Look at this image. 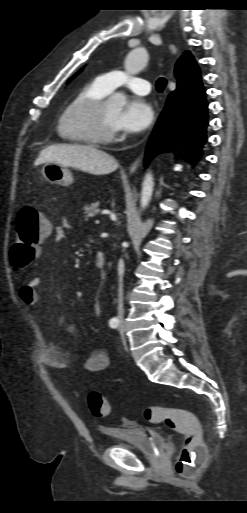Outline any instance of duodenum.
Instances as JSON below:
<instances>
[{"mask_svg":"<svg viewBox=\"0 0 247 513\" xmlns=\"http://www.w3.org/2000/svg\"><path fill=\"white\" fill-rule=\"evenodd\" d=\"M95 266L100 270V277L103 278L105 276V264H106V255L102 250H98L95 254L94 260Z\"/></svg>","mask_w":247,"mask_h":513,"instance_id":"410a0bca","label":"duodenum"}]
</instances>
